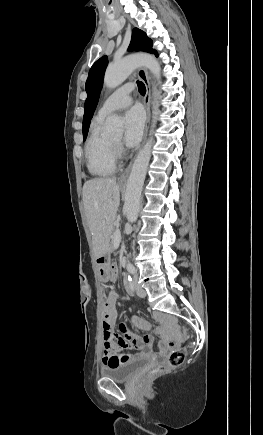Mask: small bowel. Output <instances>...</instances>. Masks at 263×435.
<instances>
[{
	"label": "small bowel",
	"mask_w": 263,
	"mask_h": 435,
	"mask_svg": "<svg viewBox=\"0 0 263 435\" xmlns=\"http://www.w3.org/2000/svg\"><path fill=\"white\" fill-rule=\"evenodd\" d=\"M108 274L112 276L110 281L116 279L118 274V268L112 265L108 269ZM117 294L114 291H110L106 297L102 307V328H115L117 323ZM156 319L165 325L176 326V320L170 315L155 313ZM130 322L140 328H146L147 323L138 317H132ZM121 334H115L112 350H103L102 362L108 366H114L124 363L133 358L143 357L149 354L148 348L151 345V335L145 333L143 336H137L132 334L127 327V322L123 321L119 324ZM104 341V339H103ZM174 343L173 338H168V341H164L163 347L157 350L160 356H165L168 350H173ZM131 349L138 351L137 354L120 353L121 350Z\"/></svg>",
	"instance_id": "1"
}]
</instances>
